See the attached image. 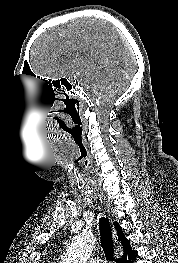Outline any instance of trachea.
Returning <instances> with one entry per match:
<instances>
[{"label":"trachea","instance_id":"1","mask_svg":"<svg viewBox=\"0 0 178 263\" xmlns=\"http://www.w3.org/2000/svg\"><path fill=\"white\" fill-rule=\"evenodd\" d=\"M99 231L105 258L107 261L112 262L114 261V243L110 222L107 218L101 217L99 219Z\"/></svg>","mask_w":178,"mask_h":263}]
</instances>
